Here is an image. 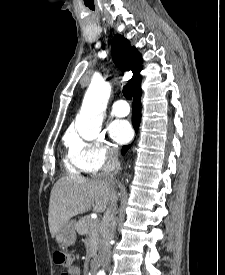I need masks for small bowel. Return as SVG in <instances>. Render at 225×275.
Instances as JSON below:
<instances>
[{"mask_svg":"<svg viewBox=\"0 0 225 275\" xmlns=\"http://www.w3.org/2000/svg\"><path fill=\"white\" fill-rule=\"evenodd\" d=\"M65 275H80V268L78 265L74 264L70 268H67Z\"/></svg>","mask_w":225,"mask_h":275,"instance_id":"c3829d8e","label":"small bowel"}]
</instances>
